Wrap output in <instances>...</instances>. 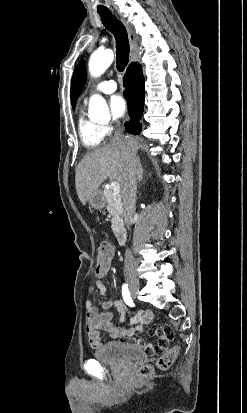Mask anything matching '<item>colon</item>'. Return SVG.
<instances>
[{"mask_svg":"<svg viewBox=\"0 0 247 413\" xmlns=\"http://www.w3.org/2000/svg\"><path fill=\"white\" fill-rule=\"evenodd\" d=\"M115 249L110 247L107 244H99L96 246V257L93 259V262L96 264V267L92 269V274L94 276L108 275L109 274V257L113 258L115 256ZM181 349V344L179 342H174L172 344V350L169 353H164V357H159L157 365L161 369H169L172 367L176 357L177 351ZM151 373V367L144 366L140 369L138 378L140 381H147L149 374Z\"/></svg>","mask_w":247,"mask_h":413,"instance_id":"colon-1","label":"colon"}]
</instances>
